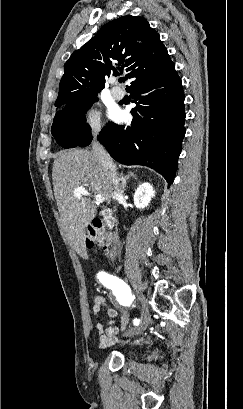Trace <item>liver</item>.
Listing matches in <instances>:
<instances>
[{"label": "liver", "mask_w": 243, "mask_h": 409, "mask_svg": "<svg viewBox=\"0 0 243 409\" xmlns=\"http://www.w3.org/2000/svg\"><path fill=\"white\" fill-rule=\"evenodd\" d=\"M52 180L63 228L69 242L79 252L84 249L86 228L97 209L89 198L76 197L74 190L88 188L103 195L110 204L112 196L107 172L92 152L74 149L58 154L52 167Z\"/></svg>", "instance_id": "liver-1"}]
</instances>
